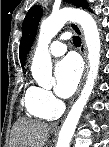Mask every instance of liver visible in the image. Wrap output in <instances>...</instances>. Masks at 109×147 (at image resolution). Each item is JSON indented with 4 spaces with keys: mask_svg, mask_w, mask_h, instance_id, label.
<instances>
[{
    "mask_svg": "<svg viewBox=\"0 0 109 147\" xmlns=\"http://www.w3.org/2000/svg\"><path fill=\"white\" fill-rule=\"evenodd\" d=\"M49 130L46 123L19 118L13 125L9 147H44Z\"/></svg>",
    "mask_w": 109,
    "mask_h": 147,
    "instance_id": "liver-1",
    "label": "liver"
}]
</instances>
